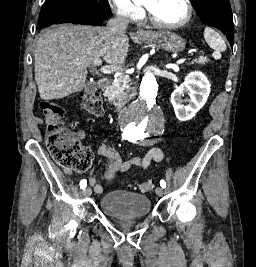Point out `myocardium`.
I'll return each mask as SVG.
<instances>
[{
    "mask_svg": "<svg viewBox=\"0 0 256 267\" xmlns=\"http://www.w3.org/2000/svg\"><path fill=\"white\" fill-rule=\"evenodd\" d=\"M169 1H173V2L180 4L185 9V16L181 21L173 22V23L167 24L165 26H160V27L166 30H175L186 25L190 21L193 10L188 0H169Z\"/></svg>",
    "mask_w": 256,
    "mask_h": 267,
    "instance_id": "myocardium-1",
    "label": "myocardium"
}]
</instances>
